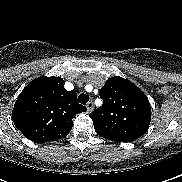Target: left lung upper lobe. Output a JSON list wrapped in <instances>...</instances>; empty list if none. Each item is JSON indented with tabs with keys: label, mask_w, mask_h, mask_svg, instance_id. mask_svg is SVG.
<instances>
[{
	"label": "left lung upper lobe",
	"mask_w": 182,
	"mask_h": 182,
	"mask_svg": "<svg viewBox=\"0 0 182 182\" xmlns=\"http://www.w3.org/2000/svg\"><path fill=\"white\" fill-rule=\"evenodd\" d=\"M104 104L89 116L95 131L134 141L149 128L151 107L146 95L132 82L115 76L100 90Z\"/></svg>",
	"instance_id": "5c2ea615"
}]
</instances>
